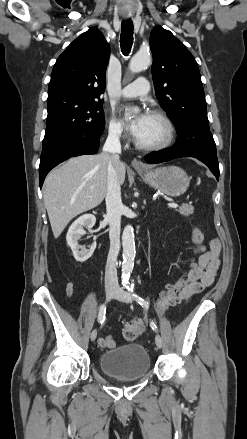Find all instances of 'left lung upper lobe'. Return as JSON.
Masks as SVG:
<instances>
[{
    "mask_svg": "<svg viewBox=\"0 0 247 439\" xmlns=\"http://www.w3.org/2000/svg\"><path fill=\"white\" fill-rule=\"evenodd\" d=\"M150 48L156 97L176 127L175 145L210 168L219 169L197 62L184 44L161 26L151 31Z\"/></svg>",
    "mask_w": 247,
    "mask_h": 439,
    "instance_id": "5c2ea615",
    "label": "left lung upper lobe"
}]
</instances>
